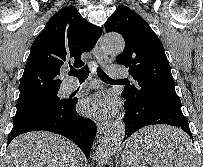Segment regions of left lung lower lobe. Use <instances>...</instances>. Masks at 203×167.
Instances as JSON below:
<instances>
[{"label":"left lung lower lobe","instance_id":"1","mask_svg":"<svg viewBox=\"0 0 203 167\" xmlns=\"http://www.w3.org/2000/svg\"><path fill=\"white\" fill-rule=\"evenodd\" d=\"M124 109L126 138L144 126L167 124L182 129L193 140L188 121L181 111V104H166L156 108H150L146 105L127 101L124 104ZM190 138L187 137L185 142L179 144L183 150L191 148ZM158 144L159 143L156 139H144L138 143L137 148H150L155 147Z\"/></svg>","mask_w":203,"mask_h":167}]
</instances>
